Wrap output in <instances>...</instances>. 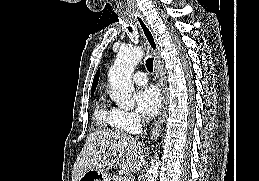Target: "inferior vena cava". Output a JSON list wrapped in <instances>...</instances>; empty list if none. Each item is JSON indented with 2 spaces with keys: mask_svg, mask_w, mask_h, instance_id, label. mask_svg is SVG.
Listing matches in <instances>:
<instances>
[{
  "mask_svg": "<svg viewBox=\"0 0 259 181\" xmlns=\"http://www.w3.org/2000/svg\"><path fill=\"white\" fill-rule=\"evenodd\" d=\"M145 135H146V130H144L143 135H141V136H142V138H144V137H145Z\"/></svg>",
  "mask_w": 259,
  "mask_h": 181,
  "instance_id": "1",
  "label": "inferior vena cava"
}]
</instances>
